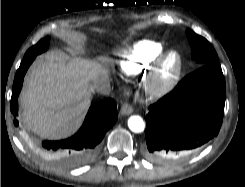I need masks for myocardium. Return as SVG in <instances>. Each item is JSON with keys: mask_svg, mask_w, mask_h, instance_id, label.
<instances>
[{"mask_svg": "<svg viewBox=\"0 0 245 187\" xmlns=\"http://www.w3.org/2000/svg\"><path fill=\"white\" fill-rule=\"evenodd\" d=\"M173 57L174 64L166 71L167 61ZM183 69L181 54L175 50H167L160 55L156 66L145 81L146 93L152 98H161L169 94L177 85Z\"/></svg>", "mask_w": 245, "mask_h": 187, "instance_id": "myocardium-1", "label": "myocardium"}]
</instances>
